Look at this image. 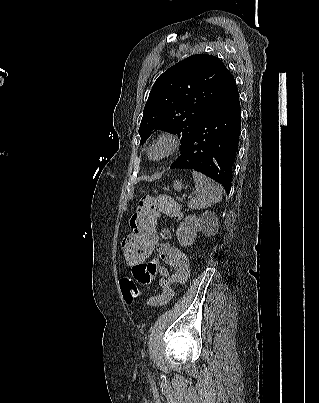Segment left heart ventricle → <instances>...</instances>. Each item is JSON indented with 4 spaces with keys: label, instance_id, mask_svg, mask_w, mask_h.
Returning <instances> with one entry per match:
<instances>
[{
    "label": "left heart ventricle",
    "instance_id": "1",
    "mask_svg": "<svg viewBox=\"0 0 319 403\" xmlns=\"http://www.w3.org/2000/svg\"><path fill=\"white\" fill-rule=\"evenodd\" d=\"M160 152H161V149H160V148H156V149L154 150V155H158Z\"/></svg>",
    "mask_w": 319,
    "mask_h": 403
}]
</instances>
